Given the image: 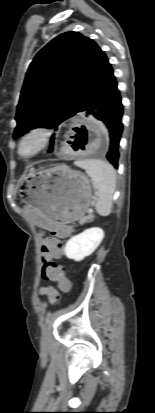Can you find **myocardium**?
<instances>
[{"instance_id": "f54148a6", "label": "myocardium", "mask_w": 155, "mask_h": 413, "mask_svg": "<svg viewBox=\"0 0 155 413\" xmlns=\"http://www.w3.org/2000/svg\"><path fill=\"white\" fill-rule=\"evenodd\" d=\"M51 136L52 130L45 125H35L29 128L25 133H23L18 141V156L22 159H31L37 156L48 146ZM29 141L34 143V148L30 153L24 154L22 152V147L26 142Z\"/></svg>"}]
</instances>
